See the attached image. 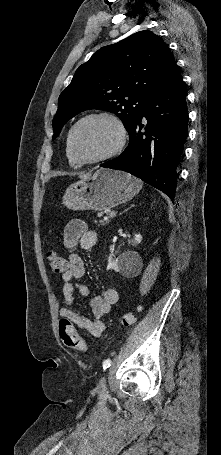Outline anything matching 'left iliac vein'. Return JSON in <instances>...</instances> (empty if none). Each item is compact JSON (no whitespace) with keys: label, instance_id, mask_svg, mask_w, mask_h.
<instances>
[{"label":"left iliac vein","instance_id":"left-iliac-vein-1","mask_svg":"<svg viewBox=\"0 0 221 455\" xmlns=\"http://www.w3.org/2000/svg\"><path fill=\"white\" fill-rule=\"evenodd\" d=\"M97 390L100 393H105L106 392L107 386H106V378H105V376H102L100 378L98 386H97Z\"/></svg>","mask_w":221,"mask_h":455}]
</instances>
